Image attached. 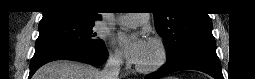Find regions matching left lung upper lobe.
Returning <instances> with one entry per match:
<instances>
[{
    "label": "left lung upper lobe",
    "instance_id": "5c2ea615",
    "mask_svg": "<svg viewBox=\"0 0 255 79\" xmlns=\"http://www.w3.org/2000/svg\"><path fill=\"white\" fill-rule=\"evenodd\" d=\"M155 2H161L157 3L161 7H158L153 15L157 33L164 40L167 60L178 57L193 45L215 43L208 14L162 7L170 1Z\"/></svg>",
    "mask_w": 255,
    "mask_h": 79
}]
</instances>
